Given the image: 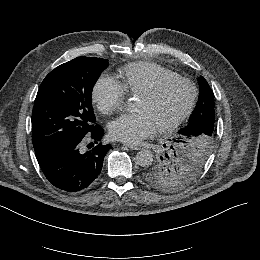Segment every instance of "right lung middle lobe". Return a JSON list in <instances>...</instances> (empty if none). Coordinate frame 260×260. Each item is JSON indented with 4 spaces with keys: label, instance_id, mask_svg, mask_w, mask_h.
Instances as JSON below:
<instances>
[{
    "label": "right lung middle lobe",
    "instance_id": "right-lung-middle-lobe-1",
    "mask_svg": "<svg viewBox=\"0 0 260 260\" xmlns=\"http://www.w3.org/2000/svg\"><path fill=\"white\" fill-rule=\"evenodd\" d=\"M108 60L77 57L43 80L32 111L35 151L81 141L95 127L92 89Z\"/></svg>",
    "mask_w": 260,
    "mask_h": 260
}]
</instances>
